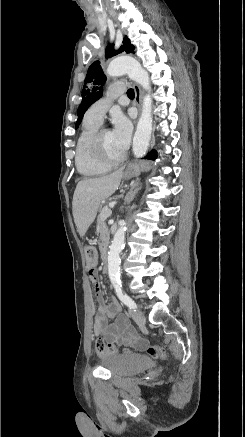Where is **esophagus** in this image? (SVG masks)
Listing matches in <instances>:
<instances>
[{
  "instance_id": "obj_1",
  "label": "esophagus",
  "mask_w": 245,
  "mask_h": 437,
  "mask_svg": "<svg viewBox=\"0 0 245 437\" xmlns=\"http://www.w3.org/2000/svg\"><path fill=\"white\" fill-rule=\"evenodd\" d=\"M134 91H135V105L137 106L138 110L140 111L141 108V99H142V92L141 88L137 84H133Z\"/></svg>"
}]
</instances>
